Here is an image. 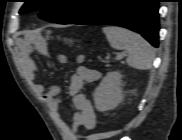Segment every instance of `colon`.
<instances>
[{
    "instance_id": "1",
    "label": "colon",
    "mask_w": 182,
    "mask_h": 140,
    "mask_svg": "<svg viewBox=\"0 0 182 140\" xmlns=\"http://www.w3.org/2000/svg\"><path fill=\"white\" fill-rule=\"evenodd\" d=\"M94 139V136H89L87 138H85V140H93Z\"/></svg>"
}]
</instances>
